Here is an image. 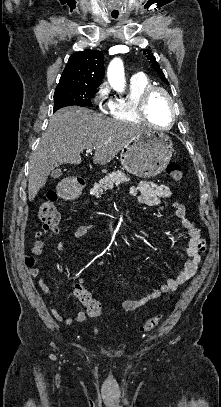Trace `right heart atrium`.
Segmentation results:
<instances>
[{
    "label": "right heart atrium",
    "instance_id": "1",
    "mask_svg": "<svg viewBox=\"0 0 221 407\" xmlns=\"http://www.w3.org/2000/svg\"><path fill=\"white\" fill-rule=\"evenodd\" d=\"M110 87L107 82H102L96 89L93 96V103L103 110L106 107H110L112 101L109 98Z\"/></svg>",
    "mask_w": 221,
    "mask_h": 407
}]
</instances>
